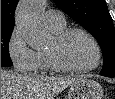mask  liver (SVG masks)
Segmentation results:
<instances>
[{
	"mask_svg": "<svg viewBox=\"0 0 115 99\" xmlns=\"http://www.w3.org/2000/svg\"><path fill=\"white\" fill-rule=\"evenodd\" d=\"M76 76H38L1 70V99H54L77 82Z\"/></svg>",
	"mask_w": 115,
	"mask_h": 99,
	"instance_id": "obj_1",
	"label": "liver"
}]
</instances>
